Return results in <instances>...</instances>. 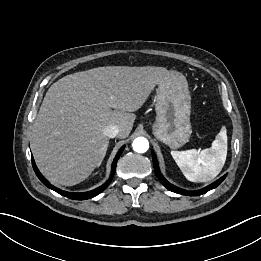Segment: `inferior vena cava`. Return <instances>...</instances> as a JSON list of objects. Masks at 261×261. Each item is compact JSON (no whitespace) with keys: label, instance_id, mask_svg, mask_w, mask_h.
Returning <instances> with one entry per match:
<instances>
[{"label":"inferior vena cava","instance_id":"inferior-vena-cava-1","mask_svg":"<svg viewBox=\"0 0 261 261\" xmlns=\"http://www.w3.org/2000/svg\"><path fill=\"white\" fill-rule=\"evenodd\" d=\"M119 133V128L117 125H109L104 129V135L107 136L108 138H114L118 135Z\"/></svg>","mask_w":261,"mask_h":261}]
</instances>
